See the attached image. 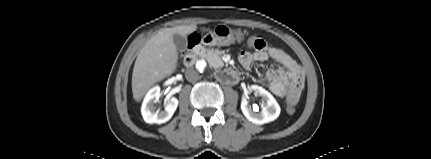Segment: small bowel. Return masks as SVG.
I'll return each mask as SVG.
<instances>
[{
  "label": "small bowel",
  "instance_id": "c3829d8e",
  "mask_svg": "<svg viewBox=\"0 0 431 159\" xmlns=\"http://www.w3.org/2000/svg\"><path fill=\"white\" fill-rule=\"evenodd\" d=\"M253 37L256 39L251 47L253 51H243L239 55L241 65L245 69H250L253 63L263 62L271 57L278 65L272 66L266 74L270 91L280 97L288 95L290 107L302 104L303 97L300 93L303 87V74L297 61L285 50L270 45L260 37Z\"/></svg>",
  "mask_w": 431,
  "mask_h": 159
}]
</instances>
